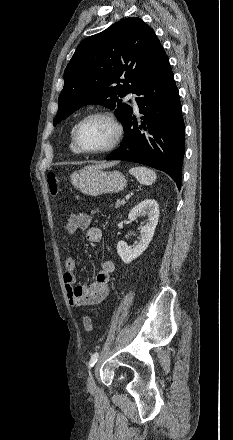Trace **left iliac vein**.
Masks as SVG:
<instances>
[{
	"mask_svg": "<svg viewBox=\"0 0 233 440\" xmlns=\"http://www.w3.org/2000/svg\"><path fill=\"white\" fill-rule=\"evenodd\" d=\"M87 387L92 392L95 391V389H96V383H95V380H94V377H93V374L91 371L89 372L88 377H87Z\"/></svg>",
	"mask_w": 233,
	"mask_h": 440,
	"instance_id": "1",
	"label": "left iliac vein"
}]
</instances>
